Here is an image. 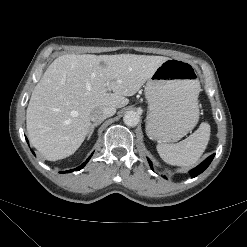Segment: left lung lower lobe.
Listing matches in <instances>:
<instances>
[{
	"label": "left lung lower lobe",
	"instance_id": "left-lung-lower-lobe-1",
	"mask_svg": "<svg viewBox=\"0 0 247 247\" xmlns=\"http://www.w3.org/2000/svg\"><path fill=\"white\" fill-rule=\"evenodd\" d=\"M215 154H212L211 156H209L205 161H203L200 165H198L196 168L192 169L190 171L191 176L194 178L195 176L199 175L200 173H202L211 163V161L213 160ZM148 162L150 164V167L153 170V166L152 163L150 161V159L148 158Z\"/></svg>",
	"mask_w": 247,
	"mask_h": 247
}]
</instances>
